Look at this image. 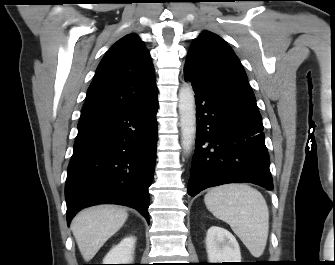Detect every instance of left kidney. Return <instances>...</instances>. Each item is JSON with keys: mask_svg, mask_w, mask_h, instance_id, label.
<instances>
[{"mask_svg": "<svg viewBox=\"0 0 335 265\" xmlns=\"http://www.w3.org/2000/svg\"><path fill=\"white\" fill-rule=\"evenodd\" d=\"M209 263L241 262L240 247L236 238L226 229L212 226L206 234Z\"/></svg>", "mask_w": 335, "mask_h": 265, "instance_id": "obj_1", "label": "left kidney"}]
</instances>
